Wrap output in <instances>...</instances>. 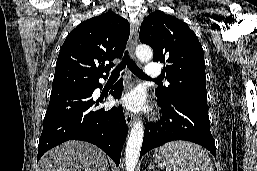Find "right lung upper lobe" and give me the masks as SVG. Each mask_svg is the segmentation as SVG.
Here are the masks:
<instances>
[{
	"label": "right lung upper lobe",
	"instance_id": "cb5924a9",
	"mask_svg": "<svg viewBox=\"0 0 257 171\" xmlns=\"http://www.w3.org/2000/svg\"><path fill=\"white\" fill-rule=\"evenodd\" d=\"M129 31L128 21L114 12L79 24L60 49L52 89L90 84L106 77L114 66L111 61L122 57ZM105 61L110 63L105 65Z\"/></svg>",
	"mask_w": 257,
	"mask_h": 171
}]
</instances>
